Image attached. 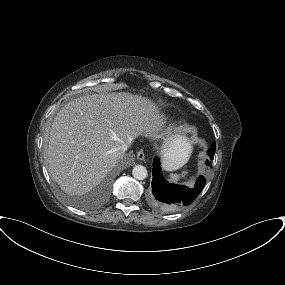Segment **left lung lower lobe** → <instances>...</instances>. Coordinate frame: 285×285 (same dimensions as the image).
I'll use <instances>...</instances> for the list:
<instances>
[{
	"mask_svg": "<svg viewBox=\"0 0 285 285\" xmlns=\"http://www.w3.org/2000/svg\"><path fill=\"white\" fill-rule=\"evenodd\" d=\"M215 149L216 145L214 143L210 149V155L213 156V158ZM207 165L212 167L211 164ZM153 166L150 200L155 207L165 212L178 211L190 205L205 186L206 179L203 176L197 179L194 188L168 183L162 175L159 158L157 156L154 158Z\"/></svg>",
	"mask_w": 285,
	"mask_h": 285,
	"instance_id": "obj_1",
	"label": "left lung lower lobe"
}]
</instances>
